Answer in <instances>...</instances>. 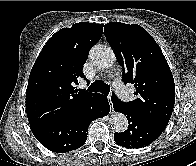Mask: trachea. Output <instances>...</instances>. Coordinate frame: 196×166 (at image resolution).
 <instances>
[{"mask_svg":"<svg viewBox=\"0 0 196 166\" xmlns=\"http://www.w3.org/2000/svg\"><path fill=\"white\" fill-rule=\"evenodd\" d=\"M87 90L89 92H101L104 95H108L110 92V86L101 80H97L92 83Z\"/></svg>","mask_w":196,"mask_h":166,"instance_id":"1","label":"trachea"}]
</instances>
